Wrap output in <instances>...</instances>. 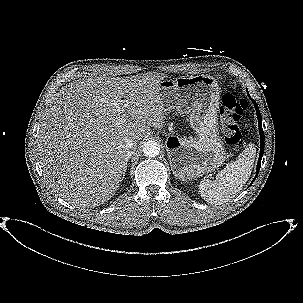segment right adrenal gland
Masks as SVG:
<instances>
[{"instance_id": "obj_1", "label": "right adrenal gland", "mask_w": 303, "mask_h": 303, "mask_svg": "<svg viewBox=\"0 0 303 303\" xmlns=\"http://www.w3.org/2000/svg\"><path fill=\"white\" fill-rule=\"evenodd\" d=\"M128 160H129V158H126V159H125V166H124V172H123L122 180H123V178L125 177V173H126V170H127V163H128Z\"/></svg>"}]
</instances>
